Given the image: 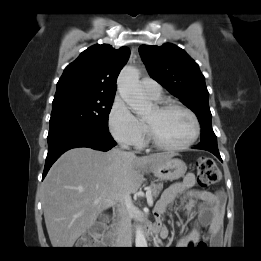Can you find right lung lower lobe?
<instances>
[{"label":"right lung lower lobe","instance_id":"obj_1","mask_svg":"<svg viewBox=\"0 0 261 261\" xmlns=\"http://www.w3.org/2000/svg\"><path fill=\"white\" fill-rule=\"evenodd\" d=\"M47 140L48 154L43 179L60 155L71 148L89 147L96 150L108 151L116 145L109 130H102L87 125H73L51 129Z\"/></svg>","mask_w":261,"mask_h":261}]
</instances>
